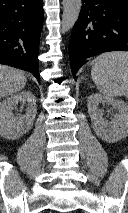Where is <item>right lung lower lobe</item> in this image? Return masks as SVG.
Returning a JSON list of instances; mask_svg holds the SVG:
<instances>
[{"label": "right lung lower lobe", "mask_w": 128, "mask_h": 213, "mask_svg": "<svg viewBox=\"0 0 128 213\" xmlns=\"http://www.w3.org/2000/svg\"><path fill=\"white\" fill-rule=\"evenodd\" d=\"M43 0H0V61L39 76Z\"/></svg>", "instance_id": "1"}]
</instances>
